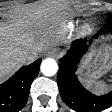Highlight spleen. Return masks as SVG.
<instances>
[{
    "instance_id": "3e777b00",
    "label": "spleen",
    "mask_w": 112,
    "mask_h": 112,
    "mask_svg": "<svg viewBox=\"0 0 112 112\" xmlns=\"http://www.w3.org/2000/svg\"><path fill=\"white\" fill-rule=\"evenodd\" d=\"M97 93H102L106 90L107 86L104 83H96L94 86Z\"/></svg>"
}]
</instances>
